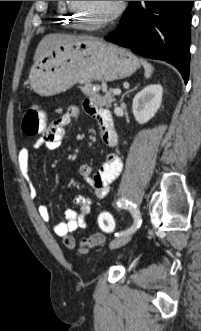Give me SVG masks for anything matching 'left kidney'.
<instances>
[{"label":"left kidney","instance_id":"1","mask_svg":"<svg viewBox=\"0 0 201 331\" xmlns=\"http://www.w3.org/2000/svg\"><path fill=\"white\" fill-rule=\"evenodd\" d=\"M162 94L163 88L160 84H151L134 97L132 111L139 124H145L154 117L161 106Z\"/></svg>","mask_w":201,"mask_h":331}]
</instances>
